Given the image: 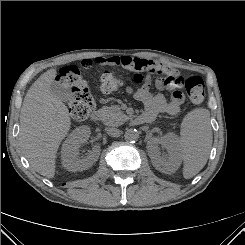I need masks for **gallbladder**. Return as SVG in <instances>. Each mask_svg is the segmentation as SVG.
<instances>
[{
	"instance_id": "gallbladder-1",
	"label": "gallbladder",
	"mask_w": 245,
	"mask_h": 245,
	"mask_svg": "<svg viewBox=\"0 0 245 245\" xmlns=\"http://www.w3.org/2000/svg\"><path fill=\"white\" fill-rule=\"evenodd\" d=\"M51 91L55 96H57L63 102H69L72 100V91L70 87L64 86L60 82L52 83Z\"/></svg>"
}]
</instances>
